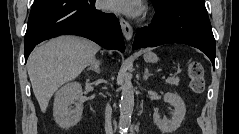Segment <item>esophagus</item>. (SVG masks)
<instances>
[{"label":"esophagus","instance_id":"esophagus-1","mask_svg":"<svg viewBox=\"0 0 239 134\" xmlns=\"http://www.w3.org/2000/svg\"><path fill=\"white\" fill-rule=\"evenodd\" d=\"M120 25H121V29L123 32V35L125 37L126 40H131L132 36H133V29L132 26L130 25L129 22H127L124 18H120Z\"/></svg>","mask_w":239,"mask_h":134}]
</instances>
